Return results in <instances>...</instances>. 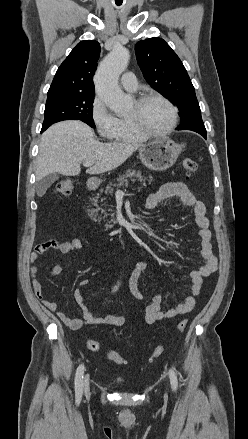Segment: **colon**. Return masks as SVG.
Masks as SVG:
<instances>
[{
  "label": "colon",
  "instance_id": "5ec220e1",
  "mask_svg": "<svg viewBox=\"0 0 248 439\" xmlns=\"http://www.w3.org/2000/svg\"><path fill=\"white\" fill-rule=\"evenodd\" d=\"M197 167H198L197 162L195 160L191 158H185L183 160V168L187 176L192 175L197 170ZM73 187H74V183L71 179H63L57 184L56 191L61 195L67 196L72 192ZM186 326H187V320L183 319L177 324L176 330L178 332H182L184 331ZM87 344H88V348L94 352H99L103 350L106 357L109 360L113 361L114 363L118 365L126 364V360L121 354L111 349H104L99 342L94 340H89ZM164 351H165L164 345L157 346L153 350L150 356V360H154L160 357L164 353Z\"/></svg>",
  "mask_w": 248,
  "mask_h": 439
}]
</instances>
